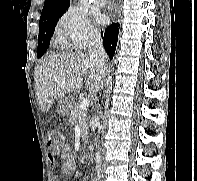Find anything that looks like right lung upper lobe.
Returning a JSON list of instances; mask_svg holds the SVG:
<instances>
[{
  "label": "right lung upper lobe",
  "instance_id": "1",
  "mask_svg": "<svg viewBox=\"0 0 197 181\" xmlns=\"http://www.w3.org/2000/svg\"><path fill=\"white\" fill-rule=\"evenodd\" d=\"M70 4V0H45L41 17L65 12Z\"/></svg>",
  "mask_w": 197,
  "mask_h": 181
}]
</instances>
